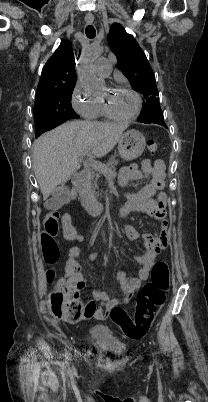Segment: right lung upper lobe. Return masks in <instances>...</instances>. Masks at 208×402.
I'll list each match as a JSON object with an SVG mask.
<instances>
[{
  "mask_svg": "<svg viewBox=\"0 0 208 402\" xmlns=\"http://www.w3.org/2000/svg\"><path fill=\"white\" fill-rule=\"evenodd\" d=\"M75 83L76 74L73 49L71 43L63 39L60 46L42 69L36 94Z\"/></svg>",
  "mask_w": 208,
  "mask_h": 402,
  "instance_id": "1",
  "label": "right lung upper lobe"
}]
</instances>
